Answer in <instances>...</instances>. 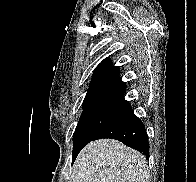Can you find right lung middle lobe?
<instances>
[{
  "instance_id": "obj_1",
  "label": "right lung middle lobe",
  "mask_w": 196,
  "mask_h": 182,
  "mask_svg": "<svg viewBox=\"0 0 196 182\" xmlns=\"http://www.w3.org/2000/svg\"><path fill=\"white\" fill-rule=\"evenodd\" d=\"M132 111L129 105L95 104L83 107L74 132L73 158L103 129L120 120Z\"/></svg>"
}]
</instances>
